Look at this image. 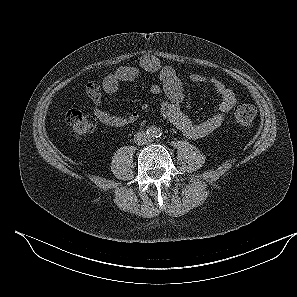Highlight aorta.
<instances>
[{
  "label": "aorta",
  "mask_w": 297,
  "mask_h": 297,
  "mask_svg": "<svg viewBox=\"0 0 297 297\" xmlns=\"http://www.w3.org/2000/svg\"><path fill=\"white\" fill-rule=\"evenodd\" d=\"M150 134L152 136L158 137L160 133H159V130L158 129L153 128V129H151Z\"/></svg>",
  "instance_id": "1"
}]
</instances>
